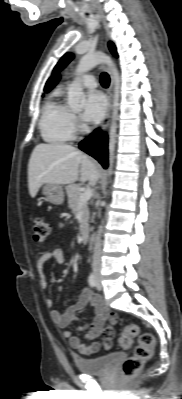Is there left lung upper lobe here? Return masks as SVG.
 <instances>
[{
  "instance_id": "left-lung-upper-lobe-1",
  "label": "left lung upper lobe",
  "mask_w": 182,
  "mask_h": 399,
  "mask_svg": "<svg viewBox=\"0 0 182 399\" xmlns=\"http://www.w3.org/2000/svg\"><path fill=\"white\" fill-rule=\"evenodd\" d=\"M109 49L115 56H117L116 47L112 42L109 43ZM72 58L73 54L66 53L57 63L56 67L54 68V72L62 70L72 60Z\"/></svg>"
}]
</instances>
